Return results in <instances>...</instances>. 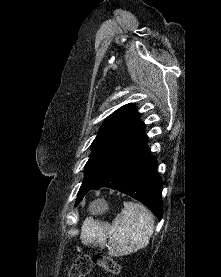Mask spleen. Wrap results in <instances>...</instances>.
<instances>
[{"label": "spleen", "instance_id": "spleen-1", "mask_svg": "<svg viewBox=\"0 0 221 277\" xmlns=\"http://www.w3.org/2000/svg\"><path fill=\"white\" fill-rule=\"evenodd\" d=\"M123 206L112 224L87 218L82 225V243L104 248L110 238L108 253L113 257L128 255L147 247L154 230L151 212L139 203L124 202ZM92 210L97 212L96 209Z\"/></svg>", "mask_w": 221, "mask_h": 277}]
</instances>
